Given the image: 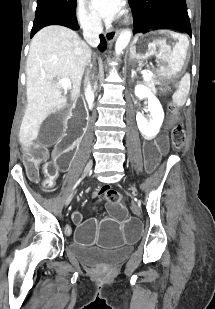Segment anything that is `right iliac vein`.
Returning a JSON list of instances; mask_svg holds the SVG:
<instances>
[{"mask_svg": "<svg viewBox=\"0 0 215 309\" xmlns=\"http://www.w3.org/2000/svg\"><path fill=\"white\" fill-rule=\"evenodd\" d=\"M91 168H92V160H90V161L87 163V165H86V167H85V169H84V172H83V177H85V176L89 173V171L91 170ZM73 196H74V193H72V194L67 198V200H66V202H65L66 205H67L68 202L73 198Z\"/></svg>", "mask_w": 215, "mask_h": 309, "instance_id": "1", "label": "right iliac vein"}]
</instances>
